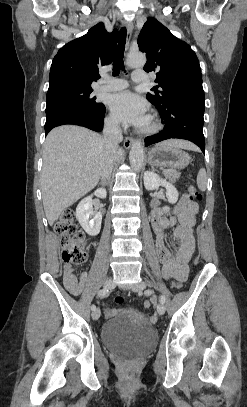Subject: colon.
I'll return each mask as SVG.
<instances>
[{
  "instance_id": "obj_1",
  "label": "colon",
  "mask_w": 247,
  "mask_h": 407,
  "mask_svg": "<svg viewBox=\"0 0 247 407\" xmlns=\"http://www.w3.org/2000/svg\"><path fill=\"white\" fill-rule=\"evenodd\" d=\"M188 198L193 201H201L202 195L194 185H190L188 188ZM55 232L58 234L62 246V260L66 264L81 265L85 263L87 259L86 253V242L84 240L83 234L77 228L74 218V212L71 209L65 210L60 218L57 220L54 226ZM182 285L181 280H175L173 282V287L180 288ZM116 303H122V297L115 298ZM146 308L152 306L150 300L144 302ZM134 371L128 369L125 372L127 379L131 380L134 378Z\"/></svg>"
}]
</instances>
